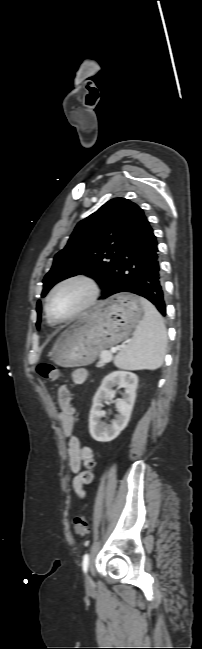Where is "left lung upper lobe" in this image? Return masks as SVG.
<instances>
[{"instance_id":"5c2ea615","label":"left lung upper lobe","mask_w":202,"mask_h":649,"mask_svg":"<svg viewBox=\"0 0 202 649\" xmlns=\"http://www.w3.org/2000/svg\"><path fill=\"white\" fill-rule=\"evenodd\" d=\"M144 216L143 210L125 198H115L80 221L67 245L55 255L53 266L43 280L44 297L57 282L84 272L112 280L122 248ZM40 327L41 302L37 303Z\"/></svg>"}]
</instances>
